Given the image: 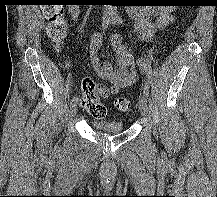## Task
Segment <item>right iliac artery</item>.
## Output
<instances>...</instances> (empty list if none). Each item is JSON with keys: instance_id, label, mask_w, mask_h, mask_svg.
<instances>
[{"instance_id": "82829eb1", "label": "right iliac artery", "mask_w": 217, "mask_h": 197, "mask_svg": "<svg viewBox=\"0 0 217 197\" xmlns=\"http://www.w3.org/2000/svg\"><path fill=\"white\" fill-rule=\"evenodd\" d=\"M102 26H103V29L107 28V26H108V21H104L103 24H102ZM76 102H77V97L74 96V97L71 99L70 105H72V104H74V103H76Z\"/></svg>"}]
</instances>
